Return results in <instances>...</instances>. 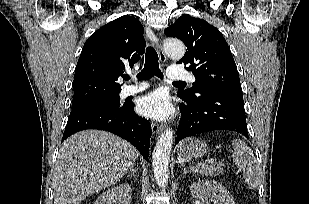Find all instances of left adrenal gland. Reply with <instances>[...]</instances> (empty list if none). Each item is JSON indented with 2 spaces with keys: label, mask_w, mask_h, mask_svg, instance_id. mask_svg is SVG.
<instances>
[{
  "label": "left adrenal gland",
  "mask_w": 309,
  "mask_h": 204,
  "mask_svg": "<svg viewBox=\"0 0 309 204\" xmlns=\"http://www.w3.org/2000/svg\"><path fill=\"white\" fill-rule=\"evenodd\" d=\"M182 166H184L182 164ZM190 172L189 170H187L185 167H183V176L182 177H185L186 173Z\"/></svg>",
  "instance_id": "1"
}]
</instances>
